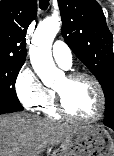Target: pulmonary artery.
<instances>
[{
  "label": "pulmonary artery",
  "mask_w": 114,
  "mask_h": 156,
  "mask_svg": "<svg viewBox=\"0 0 114 156\" xmlns=\"http://www.w3.org/2000/svg\"><path fill=\"white\" fill-rule=\"evenodd\" d=\"M52 55L58 65L67 69L71 66L72 54L70 48L63 41H56L52 48Z\"/></svg>",
  "instance_id": "pulmonary-artery-1"
}]
</instances>
